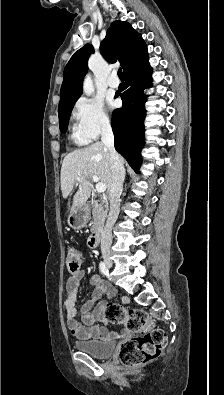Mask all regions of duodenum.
Instances as JSON below:
<instances>
[{"label":"duodenum","instance_id":"1","mask_svg":"<svg viewBox=\"0 0 224 395\" xmlns=\"http://www.w3.org/2000/svg\"><path fill=\"white\" fill-rule=\"evenodd\" d=\"M100 236H101V232L99 229H95L91 235L89 236V246L91 248H95L98 246L99 242H100Z\"/></svg>","mask_w":224,"mask_h":395}]
</instances>
